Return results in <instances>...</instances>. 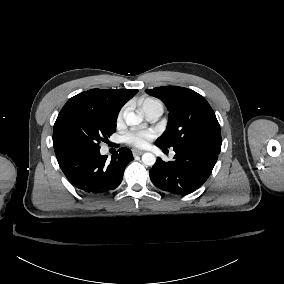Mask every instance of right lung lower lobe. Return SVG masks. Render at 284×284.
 <instances>
[{
  "label": "right lung lower lobe",
  "mask_w": 284,
  "mask_h": 284,
  "mask_svg": "<svg viewBox=\"0 0 284 284\" xmlns=\"http://www.w3.org/2000/svg\"><path fill=\"white\" fill-rule=\"evenodd\" d=\"M118 151L110 162L100 154V148L68 153L57 160L67 179L80 191L106 194L120 185L126 166L133 159L128 148Z\"/></svg>",
  "instance_id": "obj_1"
}]
</instances>
